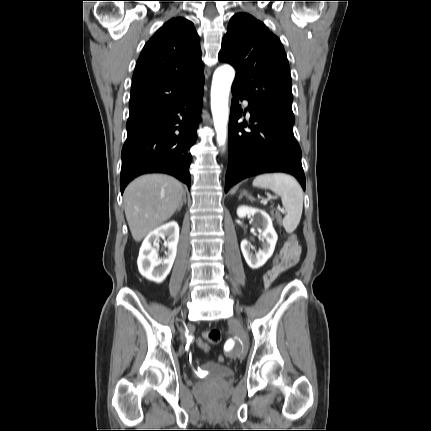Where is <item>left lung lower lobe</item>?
<instances>
[{"instance_id": "left-lung-lower-lobe-1", "label": "left lung lower lobe", "mask_w": 431, "mask_h": 431, "mask_svg": "<svg viewBox=\"0 0 431 431\" xmlns=\"http://www.w3.org/2000/svg\"><path fill=\"white\" fill-rule=\"evenodd\" d=\"M232 93L225 192L244 178L268 172L290 173L305 190L301 149L293 134L294 117L248 101L254 124L237 123L242 113L239 100L246 97L234 88ZM247 126L251 132L243 129Z\"/></svg>"}]
</instances>
